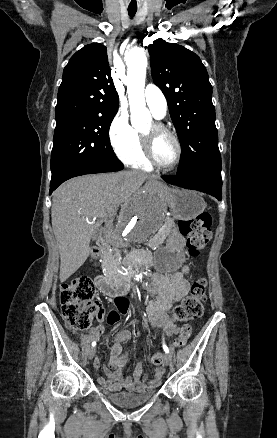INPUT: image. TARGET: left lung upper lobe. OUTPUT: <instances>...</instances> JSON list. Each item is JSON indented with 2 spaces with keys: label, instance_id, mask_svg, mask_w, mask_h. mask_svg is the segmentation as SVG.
Returning a JSON list of instances; mask_svg holds the SVG:
<instances>
[{
  "label": "left lung upper lobe",
  "instance_id": "5c2ea615",
  "mask_svg": "<svg viewBox=\"0 0 277 438\" xmlns=\"http://www.w3.org/2000/svg\"><path fill=\"white\" fill-rule=\"evenodd\" d=\"M148 51L152 78L167 99L183 150L178 175L220 171L212 86L205 66L195 53L161 38Z\"/></svg>",
  "mask_w": 277,
  "mask_h": 438
}]
</instances>
